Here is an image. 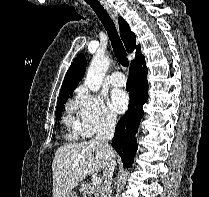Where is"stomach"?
Masks as SVG:
<instances>
[{
    "label": "stomach",
    "instance_id": "stomach-1",
    "mask_svg": "<svg viewBox=\"0 0 209 197\" xmlns=\"http://www.w3.org/2000/svg\"><path fill=\"white\" fill-rule=\"evenodd\" d=\"M64 197H78V194L76 192H69L65 194Z\"/></svg>",
    "mask_w": 209,
    "mask_h": 197
}]
</instances>
